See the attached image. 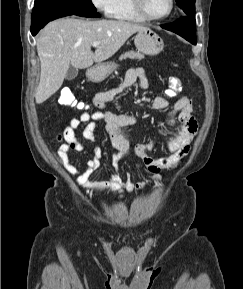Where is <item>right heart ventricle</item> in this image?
<instances>
[{
	"instance_id": "e07e8e85",
	"label": "right heart ventricle",
	"mask_w": 243,
	"mask_h": 289,
	"mask_svg": "<svg viewBox=\"0 0 243 289\" xmlns=\"http://www.w3.org/2000/svg\"><path fill=\"white\" fill-rule=\"evenodd\" d=\"M108 14L111 18L121 21H146L142 16L137 13L132 0H114L112 8Z\"/></svg>"
}]
</instances>
